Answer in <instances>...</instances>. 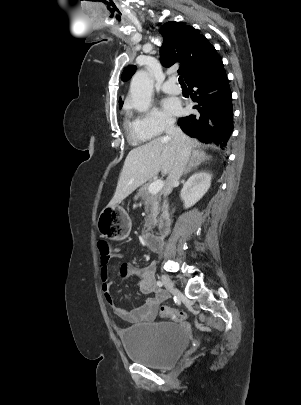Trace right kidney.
Wrapping results in <instances>:
<instances>
[{"instance_id": "1", "label": "right kidney", "mask_w": 301, "mask_h": 405, "mask_svg": "<svg viewBox=\"0 0 301 405\" xmlns=\"http://www.w3.org/2000/svg\"><path fill=\"white\" fill-rule=\"evenodd\" d=\"M212 175L209 172H198L193 174L184 184L181 190V198L184 201V208H190L197 203L211 186Z\"/></svg>"}]
</instances>
